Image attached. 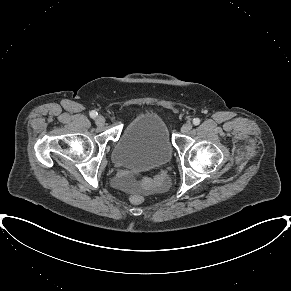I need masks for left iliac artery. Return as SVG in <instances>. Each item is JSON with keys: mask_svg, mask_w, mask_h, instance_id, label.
<instances>
[{"mask_svg": "<svg viewBox=\"0 0 291 291\" xmlns=\"http://www.w3.org/2000/svg\"><path fill=\"white\" fill-rule=\"evenodd\" d=\"M193 124L194 125H199L200 124V119L199 118H194L193 119Z\"/></svg>", "mask_w": 291, "mask_h": 291, "instance_id": "44dca946", "label": "left iliac artery"}]
</instances>
